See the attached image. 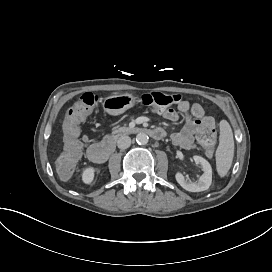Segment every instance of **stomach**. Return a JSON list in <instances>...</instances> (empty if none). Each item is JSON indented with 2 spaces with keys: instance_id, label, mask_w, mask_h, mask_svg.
I'll list each match as a JSON object with an SVG mask.
<instances>
[{
  "instance_id": "stomach-1",
  "label": "stomach",
  "mask_w": 272,
  "mask_h": 272,
  "mask_svg": "<svg viewBox=\"0 0 272 272\" xmlns=\"http://www.w3.org/2000/svg\"><path fill=\"white\" fill-rule=\"evenodd\" d=\"M135 103L136 98L132 94L124 93L105 98L103 108L111 115H119L133 107Z\"/></svg>"
}]
</instances>
